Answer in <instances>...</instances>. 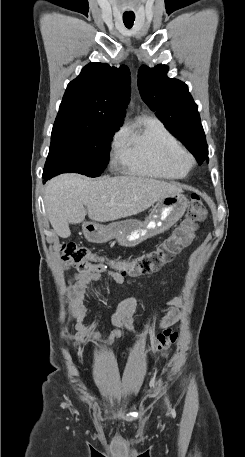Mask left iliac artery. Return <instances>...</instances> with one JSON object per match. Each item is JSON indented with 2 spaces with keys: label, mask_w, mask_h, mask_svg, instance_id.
<instances>
[{
  "label": "left iliac artery",
  "mask_w": 245,
  "mask_h": 457,
  "mask_svg": "<svg viewBox=\"0 0 245 457\" xmlns=\"http://www.w3.org/2000/svg\"><path fill=\"white\" fill-rule=\"evenodd\" d=\"M166 402H167V404H168V407H169V401H168V399H167V398H166Z\"/></svg>",
  "instance_id": "obj_1"
}]
</instances>
